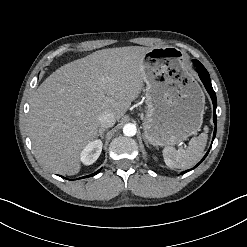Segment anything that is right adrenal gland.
<instances>
[{
    "instance_id": "obj_1",
    "label": "right adrenal gland",
    "mask_w": 247,
    "mask_h": 247,
    "mask_svg": "<svg viewBox=\"0 0 247 247\" xmlns=\"http://www.w3.org/2000/svg\"><path fill=\"white\" fill-rule=\"evenodd\" d=\"M104 132H105V129H99L98 136H100L101 139L104 138Z\"/></svg>"
}]
</instances>
